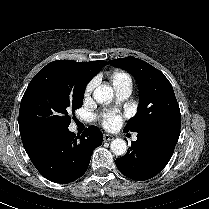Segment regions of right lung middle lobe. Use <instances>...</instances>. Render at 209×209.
I'll list each match as a JSON object with an SVG mask.
<instances>
[{
    "instance_id": "obj_1",
    "label": "right lung middle lobe",
    "mask_w": 209,
    "mask_h": 209,
    "mask_svg": "<svg viewBox=\"0 0 209 209\" xmlns=\"http://www.w3.org/2000/svg\"><path fill=\"white\" fill-rule=\"evenodd\" d=\"M91 80L76 62L54 61L43 67L29 83L20 104L19 127L40 136L67 129L70 112L83 105Z\"/></svg>"
}]
</instances>
